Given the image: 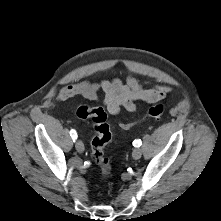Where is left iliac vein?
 <instances>
[{"label":"left iliac vein","mask_w":221,"mask_h":221,"mask_svg":"<svg viewBox=\"0 0 221 221\" xmlns=\"http://www.w3.org/2000/svg\"><path fill=\"white\" fill-rule=\"evenodd\" d=\"M142 155V150L140 148H136L133 150L132 156L134 159H139Z\"/></svg>","instance_id":"4c4485c4"}]
</instances>
